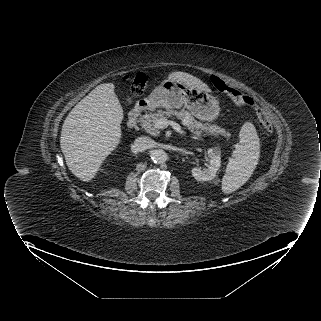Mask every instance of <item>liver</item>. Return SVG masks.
Returning a JSON list of instances; mask_svg holds the SVG:
<instances>
[{
    "label": "liver",
    "mask_w": 321,
    "mask_h": 321,
    "mask_svg": "<svg viewBox=\"0 0 321 321\" xmlns=\"http://www.w3.org/2000/svg\"><path fill=\"white\" fill-rule=\"evenodd\" d=\"M169 79L209 92L200 79L185 72H173ZM113 83L93 89L68 114L61 131L60 145L69 170L80 180H92L122 136L123 109Z\"/></svg>",
    "instance_id": "liver-1"
}]
</instances>
